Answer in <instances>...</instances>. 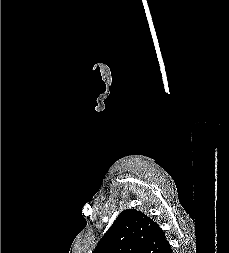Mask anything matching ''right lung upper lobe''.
Wrapping results in <instances>:
<instances>
[{
	"label": "right lung upper lobe",
	"mask_w": 229,
	"mask_h": 253,
	"mask_svg": "<svg viewBox=\"0 0 229 253\" xmlns=\"http://www.w3.org/2000/svg\"><path fill=\"white\" fill-rule=\"evenodd\" d=\"M169 247L164 231L135 209L124 210L93 253H164Z\"/></svg>",
	"instance_id": "right-lung-upper-lobe-1"
}]
</instances>
